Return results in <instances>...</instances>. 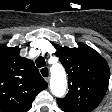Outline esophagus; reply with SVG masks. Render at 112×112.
Wrapping results in <instances>:
<instances>
[{
    "mask_svg": "<svg viewBox=\"0 0 112 112\" xmlns=\"http://www.w3.org/2000/svg\"><path fill=\"white\" fill-rule=\"evenodd\" d=\"M40 74L43 76V78L49 82L50 80V72H49V68L48 67H43V68H40L39 70Z\"/></svg>",
    "mask_w": 112,
    "mask_h": 112,
    "instance_id": "1",
    "label": "esophagus"
}]
</instances>
